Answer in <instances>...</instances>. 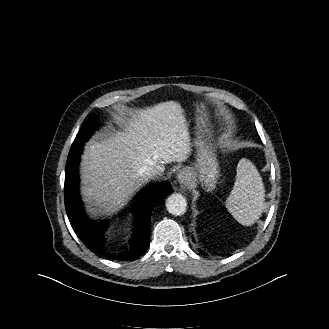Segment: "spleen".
I'll list each match as a JSON object with an SVG mask.
<instances>
[{"instance_id":"1","label":"spleen","mask_w":329,"mask_h":329,"mask_svg":"<svg viewBox=\"0 0 329 329\" xmlns=\"http://www.w3.org/2000/svg\"><path fill=\"white\" fill-rule=\"evenodd\" d=\"M234 186L225 206L242 225H252L265 208V190L262 178L254 164L242 158L236 168Z\"/></svg>"}]
</instances>
